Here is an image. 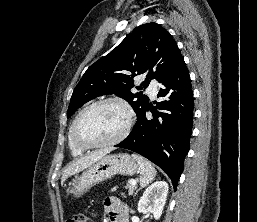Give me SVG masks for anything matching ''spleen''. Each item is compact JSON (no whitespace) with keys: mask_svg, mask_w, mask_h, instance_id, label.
Masks as SVG:
<instances>
[{"mask_svg":"<svg viewBox=\"0 0 257 222\" xmlns=\"http://www.w3.org/2000/svg\"><path fill=\"white\" fill-rule=\"evenodd\" d=\"M132 157L138 162L140 166V185L141 187H146L154 179L157 172L148 160L136 154H132Z\"/></svg>","mask_w":257,"mask_h":222,"instance_id":"3e777b00","label":"spleen"}]
</instances>
